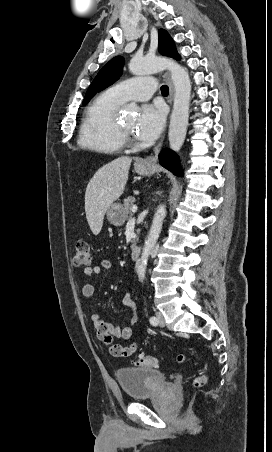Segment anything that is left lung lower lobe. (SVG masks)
I'll return each mask as SVG.
<instances>
[{
	"instance_id": "obj_1",
	"label": "left lung lower lobe",
	"mask_w": 272,
	"mask_h": 452,
	"mask_svg": "<svg viewBox=\"0 0 272 452\" xmlns=\"http://www.w3.org/2000/svg\"><path fill=\"white\" fill-rule=\"evenodd\" d=\"M160 164L173 172L174 174L181 176V169L177 155L174 152L164 150L160 155Z\"/></svg>"
}]
</instances>
